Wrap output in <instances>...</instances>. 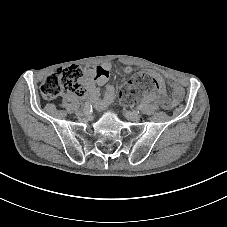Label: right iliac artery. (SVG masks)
<instances>
[{
  "label": "right iliac artery",
  "instance_id": "1",
  "mask_svg": "<svg viewBox=\"0 0 227 227\" xmlns=\"http://www.w3.org/2000/svg\"><path fill=\"white\" fill-rule=\"evenodd\" d=\"M90 107L92 108V105H89V104L86 105V107L83 110V115L84 116H89L90 115V113L92 111Z\"/></svg>",
  "mask_w": 227,
  "mask_h": 227
}]
</instances>
